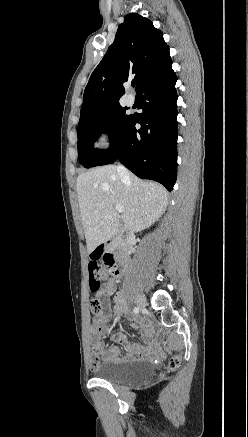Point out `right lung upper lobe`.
<instances>
[{
  "label": "right lung upper lobe",
  "mask_w": 248,
  "mask_h": 437,
  "mask_svg": "<svg viewBox=\"0 0 248 437\" xmlns=\"http://www.w3.org/2000/svg\"><path fill=\"white\" fill-rule=\"evenodd\" d=\"M169 58L162 32L149 19L137 13L128 14L118 27L114 43L90 76L79 124L120 105L119 99L125 93L123 83L128 78L136 79L138 91Z\"/></svg>",
  "instance_id": "1"
}]
</instances>
